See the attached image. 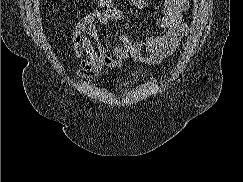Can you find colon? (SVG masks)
Returning <instances> with one entry per match:
<instances>
[{
    "label": "colon",
    "instance_id": "obj_1",
    "mask_svg": "<svg viewBox=\"0 0 243 182\" xmlns=\"http://www.w3.org/2000/svg\"><path fill=\"white\" fill-rule=\"evenodd\" d=\"M100 5L104 9H111L112 2L111 0H100Z\"/></svg>",
    "mask_w": 243,
    "mask_h": 182
}]
</instances>
